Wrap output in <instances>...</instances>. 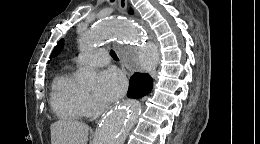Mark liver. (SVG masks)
Segmentation results:
<instances>
[{
	"mask_svg": "<svg viewBox=\"0 0 260 144\" xmlns=\"http://www.w3.org/2000/svg\"><path fill=\"white\" fill-rule=\"evenodd\" d=\"M51 144H87L89 126L72 119L54 122L51 127Z\"/></svg>",
	"mask_w": 260,
	"mask_h": 144,
	"instance_id": "1",
	"label": "liver"
}]
</instances>
